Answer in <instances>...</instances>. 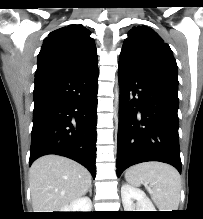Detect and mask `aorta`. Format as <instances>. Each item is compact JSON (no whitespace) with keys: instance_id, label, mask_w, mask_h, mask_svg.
Instances as JSON below:
<instances>
[{"instance_id":"obj_1","label":"aorta","mask_w":203,"mask_h":219,"mask_svg":"<svg viewBox=\"0 0 203 219\" xmlns=\"http://www.w3.org/2000/svg\"><path fill=\"white\" fill-rule=\"evenodd\" d=\"M116 103H117V106H118V103H119V90H116Z\"/></svg>"}]
</instances>
